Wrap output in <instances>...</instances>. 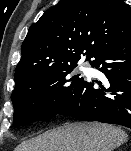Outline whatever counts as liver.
Wrapping results in <instances>:
<instances>
[{
    "label": "liver",
    "instance_id": "liver-1",
    "mask_svg": "<svg viewBox=\"0 0 131 151\" xmlns=\"http://www.w3.org/2000/svg\"><path fill=\"white\" fill-rule=\"evenodd\" d=\"M128 140L120 128L101 123H72L21 143L15 151H113Z\"/></svg>",
    "mask_w": 131,
    "mask_h": 151
}]
</instances>
